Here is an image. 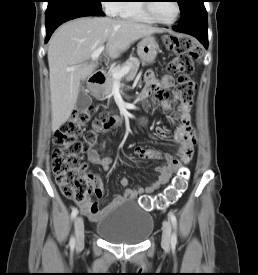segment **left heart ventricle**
<instances>
[{
    "instance_id": "left-heart-ventricle-1",
    "label": "left heart ventricle",
    "mask_w": 258,
    "mask_h": 275,
    "mask_svg": "<svg viewBox=\"0 0 258 275\" xmlns=\"http://www.w3.org/2000/svg\"><path fill=\"white\" fill-rule=\"evenodd\" d=\"M152 9L156 17L162 21H171L176 16V5L174 1H155L152 4Z\"/></svg>"
}]
</instances>
